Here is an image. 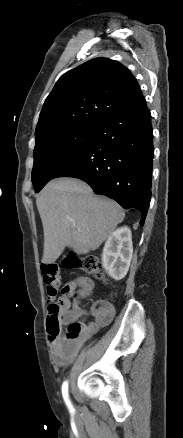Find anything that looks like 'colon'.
<instances>
[{"mask_svg":"<svg viewBox=\"0 0 183 438\" xmlns=\"http://www.w3.org/2000/svg\"><path fill=\"white\" fill-rule=\"evenodd\" d=\"M62 266L66 269H79L87 274L93 275L96 278L106 281L105 271L97 257L93 255H79L69 253L62 260ZM43 281L46 285L47 294L49 296L47 302V330L50 335H58L61 331L62 313L68 301L69 290L64 287L62 296L55 299L60 285L59 266L56 263L43 264L41 267ZM83 331L82 324L78 321H72L67 324L65 337L68 340L78 338Z\"/></svg>","mask_w":183,"mask_h":438,"instance_id":"obj_1","label":"colon"}]
</instances>
